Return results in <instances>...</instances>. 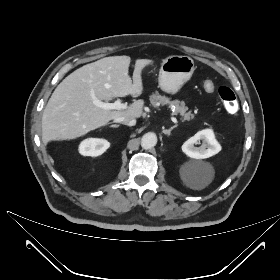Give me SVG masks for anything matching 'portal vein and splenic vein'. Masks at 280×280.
Returning <instances> with one entry per match:
<instances>
[{"label": "portal vein and splenic vein", "instance_id": "obj_1", "mask_svg": "<svg viewBox=\"0 0 280 280\" xmlns=\"http://www.w3.org/2000/svg\"><path fill=\"white\" fill-rule=\"evenodd\" d=\"M94 104L104 110H121L127 108V104L122 103L120 99L116 100L114 103H106L95 99ZM170 119L175 124H178V120L175 117L171 116Z\"/></svg>", "mask_w": 280, "mask_h": 280}]
</instances>
